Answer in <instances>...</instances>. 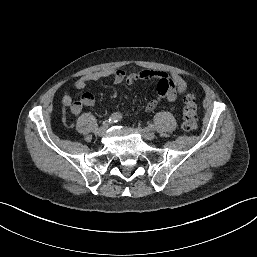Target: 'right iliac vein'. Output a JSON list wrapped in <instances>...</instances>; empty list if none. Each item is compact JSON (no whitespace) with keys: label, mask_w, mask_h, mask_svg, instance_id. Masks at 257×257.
I'll use <instances>...</instances> for the list:
<instances>
[{"label":"right iliac vein","mask_w":257,"mask_h":257,"mask_svg":"<svg viewBox=\"0 0 257 257\" xmlns=\"http://www.w3.org/2000/svg\"><path fill=\"white\" fill-rule=\"evenodd\" d=\"M109 127L108 123H104L96 132L98 136H103Z\"/></svg>","instance_id":"63e3f726"}]
</instances>
